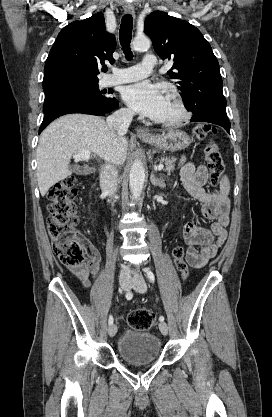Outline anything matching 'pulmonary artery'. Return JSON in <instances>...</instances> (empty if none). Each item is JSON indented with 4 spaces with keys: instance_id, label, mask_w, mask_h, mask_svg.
<instances>
[{
    "instance_id": "1",
    "label": "pulmonary artery",
    "mask_w": 272,
    "mask_h": 417,
    "mask_svg": "<svg viewBox=\"0 0 272 417\" xmlns=\"http://www.w3.org/2000/svg\"><path fill=\"white\" fill-rule=\"evenodd\" d=\"M155 65L156 57L152 54H147L140 64L115 70L113 75L106 78L105 85H116L138 81L147 77L153 71Z\"/></svg>"
}]
</instances>
